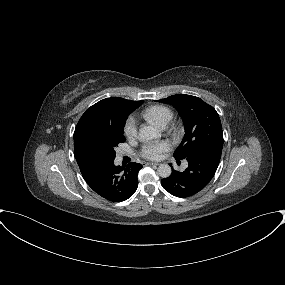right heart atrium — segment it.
Returning a JSON list of instances; mask_svg holds the SVG:
<instances>
[{
    "mask_svg": "<svg viewBox=\"0 0 285 285\" xmlns=\"http://www.w3.org/2000/svg\"><path fill=\"white\" fill-rule=\"evenodd\" d=\"M124 135L128 139H135L137 136V131H138V121L137 118L133 115H130L125 123H124Z\"/></svg>",
    "mask_w": 285,
    "mask_h": 285,
    "instance_id": "right-heart-atrium-1",
    "label": "right heart atrium"
}]
</instances>
